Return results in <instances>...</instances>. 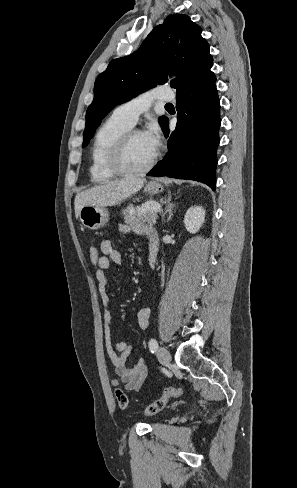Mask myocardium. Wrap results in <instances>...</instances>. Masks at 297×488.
I'll return each mask as SVG.
<instances>
[{"mask_svg": "<svg viewBox=\"0 0 297 488\" xmlns=\"http://www.w3.org/2000/svg\"><path fill=\"white\" fill-rule=\"evenodd\" d=\"M138 133H142L138 129H129L126 131L115 143L111 154L109 158V166L110 169L119 176H131V175H137V174H142L150 171L156 162L158 161V153L156 152L154 157L150 160V162L145 165L144 167L141 168H129L125 164V155H126V150L128 147V144L131 140V138Z\"/></svg>", "mask_w": 297, "mask_h": 488, "instance_id": "myocardium-1", "label": "myocardium"}]
</instances>
